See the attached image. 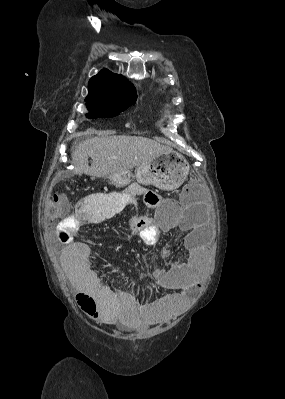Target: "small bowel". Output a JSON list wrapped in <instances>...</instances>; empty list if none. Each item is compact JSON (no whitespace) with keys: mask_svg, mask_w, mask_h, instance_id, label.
I'll return each mask as SVG.
<instances>
[{"mask_svg":"<svg viewBox=\"0 0 285 399\" xmlns=\"http://www.w3.org/2000/svg\"><path fill=\"white\" fill-rule=\"evenodd\" d=\"M146 193L147 190L132 184L122 193L82 198L73 206L72 217L62 222L59 228L61 231L79 232L81 228L99 225L130 209L132 213L128 228L132 232H140L145 243L154 244L162 234L161 228L155 221L136 211L137 197ZM154 208L160 210L162 205L158 204ZM191 210L195 215L196 208L191 206ZM179 226L178 222H174L171 228L177 229ZM200 239V232L185 235V252L181 259H170L169 248L164 249L163 256L169 259L170 268L164 271L154 267L155 281L160 287L174 292L145 304L139 303L131 293L102 284L90 266L94 250L88 243L79 241L65 244L61 249V261L71 279L77 304L92 319L107 324L125 322L146 327L173 317L189 305L206 265Z\"/></svg>","mask_w":285,"mask_h":399,"instance_id":"1","label":"small bowel"}]
</instances>
